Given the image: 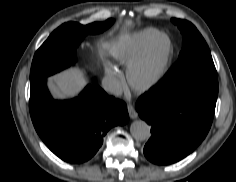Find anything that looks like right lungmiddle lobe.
<instances>
[{
	"label": "right lung middle lobe",
	"mask_w": 236,
	"mask_h": 182,
	"mask_svg": "<svg viewBox=\"0 0 236 182\" xmlns=\"http://www.w3.org/2000/svg\"><path fill=\"white\" fill-rule=\"evenodd\" d=\"M113 19L81 25L64 23L54 30L36 51L30 72V82L46 78L71 65L75 61L76 47L88 34L103 32L113 24Z\"/></svg>",
	"instance_id": "right-lung-middle-lobe-1"
}]
</instances>
